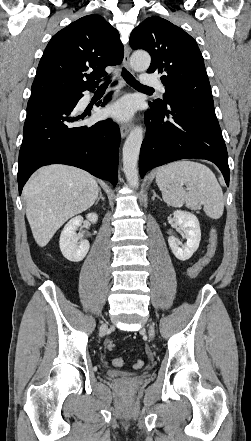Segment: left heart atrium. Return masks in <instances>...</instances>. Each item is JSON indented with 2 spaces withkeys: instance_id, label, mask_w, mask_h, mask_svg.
I'll use <instances>...</instances> for the list:
<instances>
[{
  "instance_id": "left-heart-atrium-1",
  "label": "left heart atrium",
  "mask_w": 251,
  "mask_h": 441,
  "mask_svg": "<svg viewBox=\"0 0 251 441\" xmlns=\"http://www.w3.org/2000/svg\"><path fill=\"white\" fill-rule=\"evenodd\" d=\"M135 112V104L130 98H123L110 105L105 110V115L117 120L127 121Z\"/></svg>"
}]
</instances>
